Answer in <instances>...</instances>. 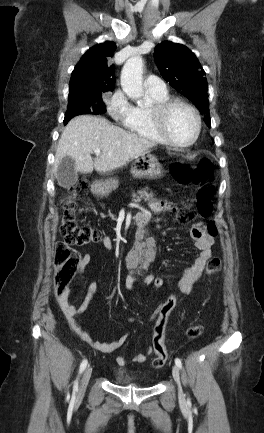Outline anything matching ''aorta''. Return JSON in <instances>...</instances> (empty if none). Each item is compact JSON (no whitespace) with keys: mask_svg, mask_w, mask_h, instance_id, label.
Returning <instances> with one entry per match:
<instances>
[{"mask_svg":"<svg viewBox=\"0 0 264 433\" xmlns=\"http://www.w3.org/2000/svg\"><path fill=\"white\" fill-rule=\"evenodd\" d=\"M143 59L136 55L129 58L121 71V86L128 97L137 100L138 105L143 104Z\"/></svg>","mask_w":264,"mask_h":433,"instance_id":"aorta-1","label":"aorta"}]
</instances>
